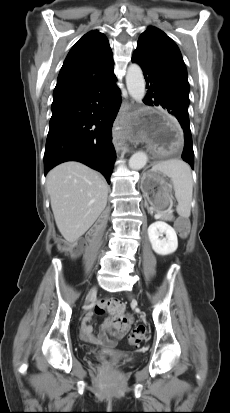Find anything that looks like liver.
Returning a JSON list of instances; mask_svg holds the SVG:
<instances>
[{
    "label": "liver",
    "mask_w": 230,
    "mask_h": 413,
    "mask_svg": "<svg viewBox=\"0 0 230 413\" xmlns=\"http://www.w3.org/2000/svg\"><path fill=\"white\" fill-rule=\"evenodd\" d=\"M46 185L60 233L68 242H75L107 204L105 179L82 163L66 162L48 173Z\"/></svg>",
    "instance_id": "1"
}]
</instances>
